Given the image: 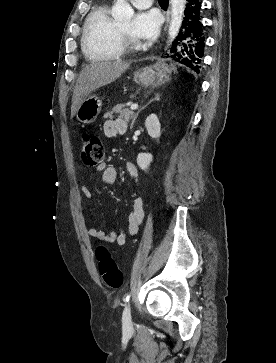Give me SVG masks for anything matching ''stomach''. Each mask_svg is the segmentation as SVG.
<instances>
[{"mask_svg":"<svg viewBox=\"0 0 276 363\" xmlns=\"http://www.w3.org/2000/svg\"><path fill=\"white\" fill-rule=\"evenodd\" d=\"M170 69L161 61L147 66L134 74V81L143 87H155L169 79ZM102 101L96 95H89L76 111L77 119L84 123H93L101 112Z\"/></svg>","mask_w":276,"mask_h":363,"instance_id":"1","label":"stomach"}]
</instances>
